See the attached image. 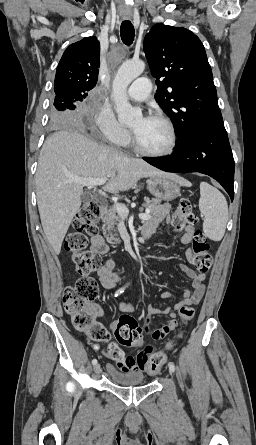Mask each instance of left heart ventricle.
Instances as JSON below:
<instances>
[{
	"label": "left heart ventricle",
	"instance_id": "1",
	"mask_svg": "<svg viewBox=\"0 0 256 445\" xmlns=\"http://www.w3.org/2000/svg\"><path fill=\"white\" fill-rule=\"evenodd\" d=\"M139 143L150 151H163L170 142V134L167 127L156 120L139 118L131 125Z\"/></svg>",
	"mask_w": 256,
	"mask_h": 445
}]
</instances>
